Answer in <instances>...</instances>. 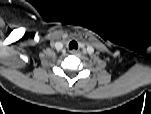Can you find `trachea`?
Masks as SVG:
<instances>
[{
  "label": "trachea",
  "instance_id": "1",
  "mask_svg": "<svg viewBox=\"0 0 151 114\" xmlns=\"http://www.w3.org/2000/svg\"><path fill=\"white\" fill-rule=\"evenodd\" d=\"M78 48V43L75 41V40H72L70 43H69V49L70 50H76Z\"/></svg>",
  "mask_w": 151,
  "mask_h": 114
}]
</instances>
